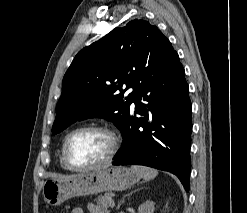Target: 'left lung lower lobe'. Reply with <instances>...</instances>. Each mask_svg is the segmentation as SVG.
<instances>
[{"label": "left lung lower lobe", "instance_id": "1", "mask_svg": "<svg viewBox=\"0 0 247 213\" xmlns=\"http://www.w3.org/2000/svg\"><path fill=\"white\" fill-rule=\"evenodd\" d=\"M134 104L113 165L138 164L171 172L189 191L192 105L176 51L143 78Z\"/></svg>", "mask_w": 247, "mask_h": 213}]
</instances>
